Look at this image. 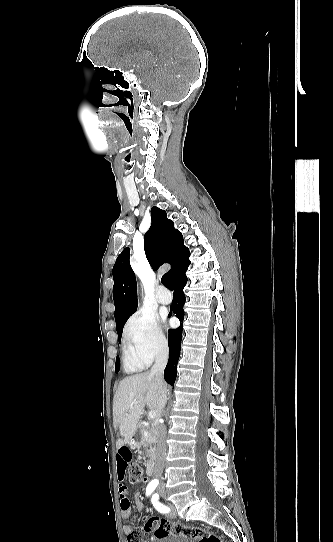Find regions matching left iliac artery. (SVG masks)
<instances>
[{
	"label": "left iliac artery",
	"mask_w": 333,
	"mask_h": 542,
	"mask_svg": "<svg viewBox=\"0 0 333 542\" xmlns=\"http://www.w3.org/2000/svg\"><path fill=\"white\" fill-rule=\"evenodd\" d=\"M159 495L158 494H154L152 496V503L154 505V507L156 508V510H158L160 513H168L169 512V508L163 504H161L159 501Z\"/></svg>",
	"instance_id": "44dca946"
}]
</instances>
